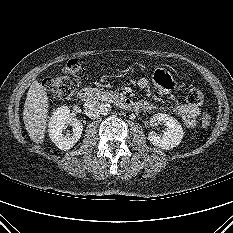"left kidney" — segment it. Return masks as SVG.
Wrapping results in <instances>:
<instances>
[{"label":"left kidney","instance_id":"obj_1","mask_svg":"<svg viewBox=\"0 0 233 233\" xmlns=\"http://www.w3.org/2000/svg\"><path fill=\"white\" fill-rule=\"evenodd\" d=\"M163 122L167 126V131L162 136H158L155 132H150L148 140L161 149L169 150L181 143L183 138V128L180 123L174 117L168 114H154L150 119V125L155 126L158 123Z\"/></svg>","mask_w":233,"mask_h":233}]
</instances>
